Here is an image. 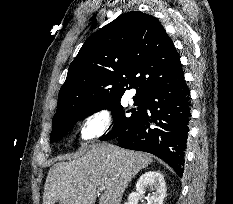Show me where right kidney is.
<instances>
[{
  "label": "right kidney",
  "instance_id": "1",
  "mask_svg": "<svg viewBox=\"0 0 233 204\" xmlns=\"http://www.w3.org/2000/svg\"><path fill=\"white\" fill-rule=\"evenodd\" d=\"M146 189L152 193L148 204H163L166 195L164 177L157 171L145 172L137 181L136 191L132 192L125 204H138V200L145 194Z\"/></svg>",
  "mask_w": 233,
  "mask_h": 204
}]
</instances>
